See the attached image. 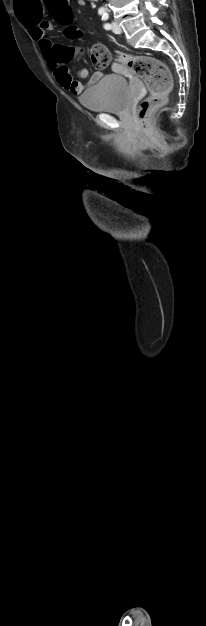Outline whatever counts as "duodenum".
<instances>
[{
  "label": "duodenum",
  "mask_w": 206,
  "mask_h": 626,
  "mask_svg": "<svg viewBox=\"0 0 206 626\" xmlns=\"http://www.w3.org/2000/svg\"><path fill=\"white\" fill-rule=\"evenodd\" d=\"M90 1H92V2H96V1H98V0H90Z\"/></svg>",
  "instance_id": "obj_1"
}]
</instances>
